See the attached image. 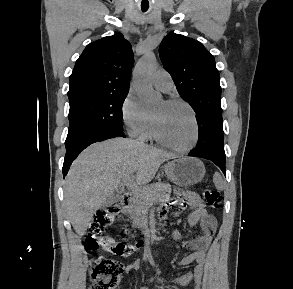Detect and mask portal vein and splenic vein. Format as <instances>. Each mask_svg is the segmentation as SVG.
<instances>
[{
    "mask_svg": "<svg viewBox=\"0 0 293 289\" xmlns=\"http://www.w3.org/2000/svg\"><path fill=\"white\" fill-rule=\"evenodd\" d=\"M131 181H132V178H128L126 181H124V184L126 186H128L132 190L133 193L137 194V193L146 191V188L138 187V186L132 184Z\"/></svg>",
    "mask_w": 293,
    "mask_h": 289,
    "instance_id": "1",
    "label": "portal vein and splenic vein"
}]
</instances>
